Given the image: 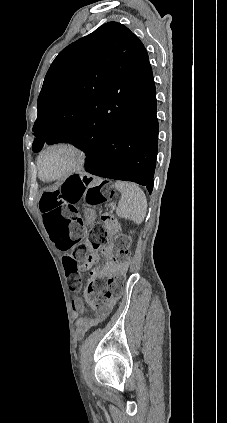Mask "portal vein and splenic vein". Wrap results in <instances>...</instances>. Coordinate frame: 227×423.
Masks as SVG:
<instances>
[{
	"label": "portal vein and splenic vein",
	"instance_id": "1",
	"mask_svg": "<svg viewBox=\"0 0 227 423\" xmlns=\"http://www.w3.org/2000/svg\"><path fill=\"white\" fill-rule=\"evenodd\" d=\"M111 209H112V210H115V209H116V206H115V205H112V206H111Z\"/></svg>",
	"mask_w": 227,
	"mask_h": 423
}]
</instances>
